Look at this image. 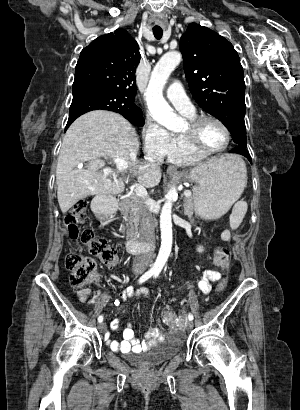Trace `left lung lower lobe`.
I'll return each mask as SVG.
<instances>
[{
  "label": "left lung lower lobe",
  "mask_w": 300,
  "mask_h": 410,
  "mask_svg": "<svg viewBox=\"0 0 300 410\" xmlns=\"http://www.w3.org/2000/svg\"><path fill=\"white\" fill-rule=\"evenodd\" d=\"M230 152L244 155L250 161V163H252L250 154H249V152L247 151L246 148L240 146V147H236V148L230 150Z\"/></svg>",
  "instance_id": "1"
}]
</instances>
